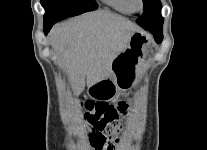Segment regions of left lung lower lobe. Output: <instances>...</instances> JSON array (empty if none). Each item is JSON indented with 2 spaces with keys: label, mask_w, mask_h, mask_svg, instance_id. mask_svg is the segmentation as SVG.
<instances>
[{
  "label": "left lung lower lobe",
  "mask_w": 207,
  "mask_h": 150,
  "mask_svg": "<svg viewBox=\"0 0 207 150\" xmlns=\"http://www.w3.org/2000/svg\"><path fill=\"white\" fill-rule=\"evenodd\" d=\"M152 34L157 43H160L162 41L163 38L162 32H152Z\"/></svg>",
  "instance_id": "left-lung-lower-lobe-1"
}]
</instances>
